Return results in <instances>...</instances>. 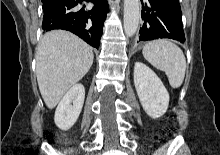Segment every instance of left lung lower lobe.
<instances>
[{"mask_svg":"<svg viewBox=\"0 0 220 155\" xmlns=\"http://www.w3.org/2000/svg\"><path fill=\"white\" fill-rule=\"evenodd\" d=\"M142 28L139 41L171 38L185 42L179 0H146L142 2Z\"/></svg>","mask_w":220,"mask_h":155,"instance_id":"0a47b994","label":"left lung lower lobe"}]
</instances>
